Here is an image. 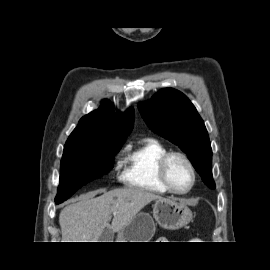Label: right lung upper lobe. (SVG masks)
I'll list each match as a JSON object with an SVG mask.
<instances>
[{"mask_svg":"<svg viewBox=\"0 0 270 270\" xmlns=\"http://www.w3.org/2000/svg\"><path fill=\"white\" fill-rule=\"evenodd\" d=\"M134 123V109L115 112L111 103L104 100L101 106L81 118L66 143L110 144L124 142Z\"/></svg>","mask_w":270,"mask_h":270,"instance_id":"obj_1","label":"right lung upper lobe"}]
</instances>
